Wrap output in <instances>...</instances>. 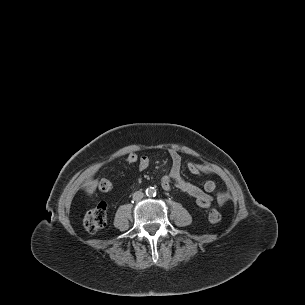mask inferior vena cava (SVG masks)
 Returning a JSON list of instances; mask_svg holds the SVG:
<instances>
[{"label": "inferior vena cava", "mask_w": 305, "mask_h": 305, "mask_svg": "<svg viewBox=\"0 0 305 305\" xmlns=\"http://www.w3.org/2000/svg\"><path fill=\"white\" fill-rule=\"evenodd\" d=\"M143 197H144V193L141 192V191H136V192L133 194V200H135V201H139V200H141Z\"/></svg>", "instance_id": "602c4592"}]
</instances>
